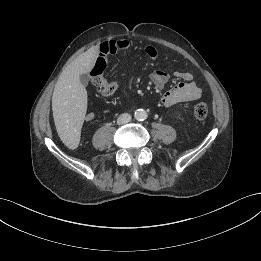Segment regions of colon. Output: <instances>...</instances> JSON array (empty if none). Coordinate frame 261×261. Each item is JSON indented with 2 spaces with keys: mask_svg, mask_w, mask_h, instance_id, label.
<instances>
[{
  "mask_svg": "<svg viewBox=\"0 0 261 261\" xmlns=\"http://www.w3.org/2000/svg\"><path fill=\"white\" fill-rule=\"evenodd\" d=\"M104 67L97 65L91 72V84L98 90L103 96H108L112 93V87L109 86L108 82L103 78ZM208 114V106L205 102H199L194 108V115L197 119L202 120L206 118Z\"/></svg>",
  "mask_w": 261,
  "mask_h": 261,
  "instance_id": "5ec220e1",
  "label": "colon"
}]
</instances>
